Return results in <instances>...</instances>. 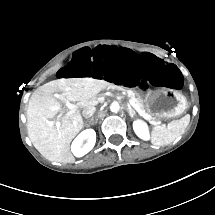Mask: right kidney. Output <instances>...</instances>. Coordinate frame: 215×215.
<instances>
[{
	"instance_id": "right-kidney-1",
	"label": "right kidney",
	"mask_w": 215,
	"mask_h": 215,
	"mask_svg": "<svg viewBox=\"0 0 215 215\" xmlns=\"http://www.w3.org/2000/svg\"><path fill=\"white\" fill-rule=\"evenodd\" d=\"M84 140H87V143L85 145H82ZM95 143L96 132L93 129H86L75 138L71 145V151L74 156L83 157L93 149Z\"/></svg>"
}]
</instances>
